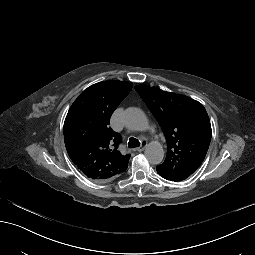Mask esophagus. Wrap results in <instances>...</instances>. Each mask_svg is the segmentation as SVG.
<instances>
[{
	"label": "esophagus",
	"instance_id": "obj_1",
	"mask_svg": "<svg viewBox=\"0 0 255 255\" xmlns=\"http://www.w3.org/2000/svg\"><path fill=\"white\" fill-rule=\"evenodd\" d=\"M145 149V145H142L141 147H138L136 150L137 152H142Z\"/></svg>",
	"mask_w": 255,
	"mask_h": 255
}]
</instances>
